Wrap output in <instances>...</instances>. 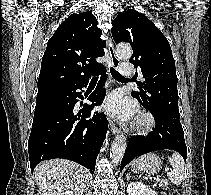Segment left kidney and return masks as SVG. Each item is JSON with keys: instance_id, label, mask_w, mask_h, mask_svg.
Segmentation results:
<instances>
[{"instance_id": "obj_1", "label": "left kidney", "mask_w": 211, "mask_h": 195, "mask_svg": "<svg viewBox=\"0 0 211 195\" xmlns=\"http://www.w3.org/2000/svg\"><path fill=\"white\" fill-rule=\"evenodd\" d=\"M128 195H158L154 190L141 182H131L127 187Z\"/></svg>"}]
</instances>
